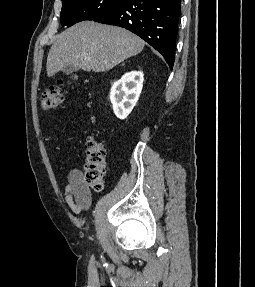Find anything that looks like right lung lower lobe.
<instances>
[{
	"mask_svg": "<svg viewBox=\"0 0 255 287\" xmlns=\"http://www.w3.org/2000/svg\"><path fill=\"white\" fill-rule=\"evenodd\" d=\"M181 0H125L93 21L123 27L160 52L172 69Z\"/></svg>",
	"mask_w": 255,
	"mask_h": 287,
	"instance_id": "1",
	"label": "right lung lower lobe"
}]
</instances>
